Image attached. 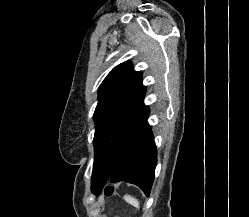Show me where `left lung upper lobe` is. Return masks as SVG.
I'll return each mask as SVG.
<instances>
[{"label": "left lung upper lobe", "instance_id": "5c2ea615", "mask_svg": "<svg viewBox=\"0 0 249 217\" xmlns=\"http://www.w3.org/2000/svg\"><path fill=\"white\" fill-rule=\"evenodd\" d=\"M146 88L142 74L134 71L131 62H123L113 68L99 87L98 104L94 112V160L95 168L108 173L114 164L118 132L126 117L143 101ZM96 184L91 182L94 192Z\"/></svg>", "mask_w": 249, "mask_h": 217}]
</instances>
